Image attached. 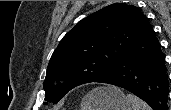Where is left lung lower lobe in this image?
I'll return each mask as SVG.
<instances>
[{
    "mask_svg": "<svg viewBox=\"0 0 171 110\" xmlns=\"http://www.w3.org/2000/svg\"><path fill=\"white\" fill-rule=\"evenodd\" d=\"M164 54L150 25L146 34L106 74L95 82L122 87L153 110H169V81Z\"/></svg>",
    "mask_w": 171,
    "mask_h": 110,
    "instance_id": "left-lung-lower-lobe-1",
    "label": "left lung lower lobe"
}]
</instances>
